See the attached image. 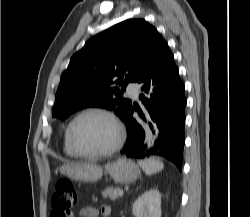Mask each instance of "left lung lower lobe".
<instances>
[{
  "label": "left lung lower lobe",
  "mask_w": 250,
  "mask_h": 217,
  "mask_svg": "<svg viewBox=\"0 0 250 217\" xmlns=\"http://www.w3.org/2000/svg\"><path fill=\"white\" fill-rule=\"evenodd\" d=\"M136 82L141 84L139 98L144 109L142 111L132 105L128 111L124 119L128 127V141L121 153L140 159L162 156L181 170L186 99L184 84L165 40L160 43L150 67ZM134 111L139 113L141 119L133 118ZM147 121L149 127L158 132V138L150 148L144 144Z\"/></svg>",
  "instance_id": "0a47b994"
}]
</instances>
